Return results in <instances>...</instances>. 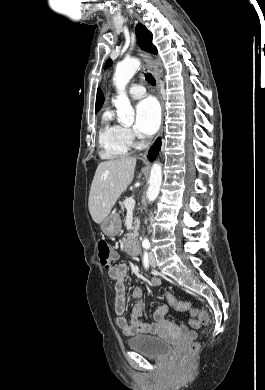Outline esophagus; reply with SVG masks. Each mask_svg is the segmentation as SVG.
Masks as SVG:
<instances>
[{
  "instance_id": "esophagus-1",
  "label": "esophagus",
  "mask_w": 265,
  "mask_h": 390,
  "mask_svg": "<svg viewBox=\"0 0 265 390\" xmlns=\"http://www.w3.org/2000/svg\"><path fill=\"white\" fill-rule=\"evenodd\" d=\"M139 51H140V54H141V56L143 57V59H144L146 65H147L148 69L150 70V72H151V73L153 74V76L155 77L156 82H157V88H158V91H159V89H160L159 74H158L157 70L155 69V67L153 66L152 57H151V55H150L149 53H147V52H144V51H141V50H139ZM159 97H160L161 104H162V106H163V100H162L161 95H159ZM161 132H162V129H161ZM144 157H145V155H144Z\"/></svg>"
}]
</instances>
